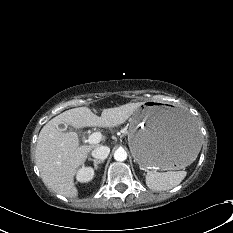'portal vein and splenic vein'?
<instances>
[{
  "instance_id": "portal-vein-and-splenic-vein-1",
  "label": "portal vein and splenic vein",
  "mask_w": 233,
  "mask_h": 233,
  "mask_svg": "<svg viewBox=\"0 0 233 233\" xmlns=\"http://www.w3.org/2000/svg\"><path fill=\"white\" fill-rule=\"evenodd\" d=\"M101 140H102V134L100 132H94L88 137L87 142L89 144H97Z\"/></svg>"
}]
</instances>
